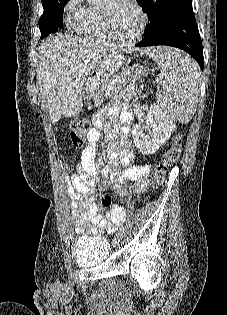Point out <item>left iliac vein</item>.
<instances>
[{"mask_svg":"<svg viewBox=\"0 0 227 315\" xmlns=\"http://www.w3.org/2000/svg\"><path fill=\"white\" fill-rule=\"evenodd\" d=\"M120 241H121V237H120V235H117V236L115 237V239H114L115 245H119Z\"/></svg>","mask_w":227,"mask_h":315,"instance_id":"4c4485c4","label":"left iliac vein"}]
</instances>
